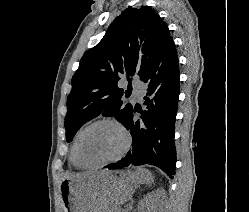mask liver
Listing matches in <instances>:
<instances>
[{
    "mask_svg": "<svg viewBox=\"0 0 249 212\" xmlns=\"http://www.w3.org/2000/svg\"><path fill=\"white\" fill-rule=\"evenodd\" d=\"M120 174V176H117ZM148 174L145 168H137L136 172H110V170H100V172H84V174H74L68 180L76 178L85 182L86 186L94 190V202L92 208L99 206L98 210L107 212L109 206H122L128 200H132L139 184H146Z\"/></svg>",
    "mask_w": 249,
    "mask_h": 212,
    "instance_id": "liver-1",
    "label": "liver"
}]
</instances>
